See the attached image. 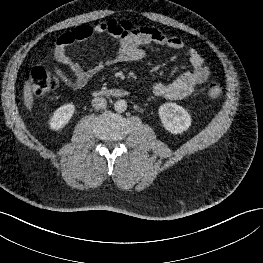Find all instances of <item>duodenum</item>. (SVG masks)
<instances>
[{
    "label": "duodenum",
    "instance_id": "obj_1",
    "mask_svg": "<svg viewBox=\"0 0 263 263\" xmlns=\"http://www.w3.org/2000/svg\"><path fill=\"white\" fill-rule=\"evenodd\" d=\"M94 95L97 97L102 96H112V97H125L128 92L123 89L113 88V89H98L94 91Z\"/></svg>",
    "mask_w": 263,
    "mask_h": 263
}]
</instances>
